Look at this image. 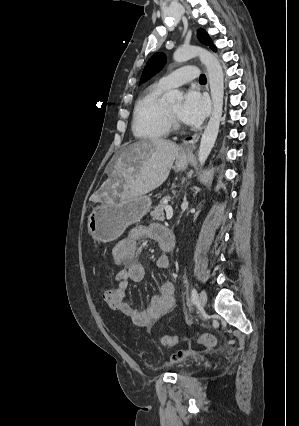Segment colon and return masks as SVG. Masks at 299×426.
<instances>
[{"instance_id":"5ec220e1","label":"colon","mask_w":299,"mask_h":426,"mask_svg":"<svg viewBox=\"0 0 299 426\" xmlns=\"http://www.w3.org/2000/svg\"><path fill=\"white\" fill-rule=\"evenodd\" d=\"M102 296L111 309L120 311L125 303L126 294L123 289L115 285L105 288ZM198 342L206 347H212L216 344V338L211 334H204L199 338ZM161 343L164 346L173 347L177 344V337L174 335H164L161 339Z\"/></svg>"}]
</instances>
